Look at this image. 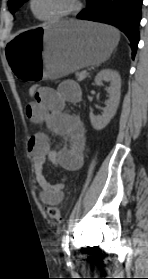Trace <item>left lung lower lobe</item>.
Masks as SVG:
<instances>
[{"label": "left lung lower lobe", "instance_id": "obj_1", "mask_svg": "<svg viewBox=\"0 0 148 279\" xmlns=\"http://www.w3.org/2000/svg\"><path fill=\"white\" fill-rule=\"evenodd\" d=\"M86 10L78 19L107 23L119 28L131 42L132 55L139 42V23L143 0H87Z\"/></svg>", "mask_w": 148, "mask_h": 279}]
</instances>
